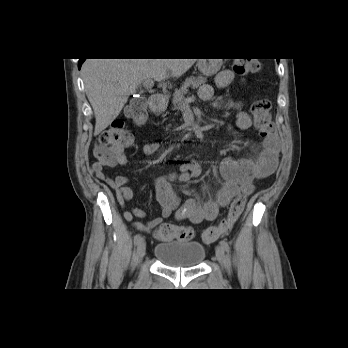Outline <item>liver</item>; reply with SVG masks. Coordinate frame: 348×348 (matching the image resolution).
Listing matches in <instances>:
<instances>
[{
	"instance_id": "6515ba94",
	"label": "liver",
	"mask_w": 348,
	"mask_h": 348,
	"mask_svg": "<svg viewBox=\"0 0 348 348\" xmlns=\"http://www.w3.org/2000/svg\"><path fill=\"white\" fill-rule=\"evenodd\" d=\"M198 59H87L82 66L85 92L93 108L94 135L120 114L131 94L147 79L178 78Z\"/></svg>"
}]
</instances>
